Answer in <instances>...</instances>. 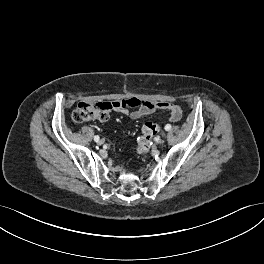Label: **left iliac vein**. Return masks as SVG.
Segmentation results:
<instances>
[{"label":"left iliac vein","instance_id":"left-iliac-vein-1","mask_svg":"<svg viewBox=\"0 0 264 264\" xmlns=\"http://www.w3.org/2000/svg\"><path fill=\"white\" fill-rule=\"evenodd\" d=\"M165 142H166V141H165L164 139H161V140H160V143H161V144H164Z\"/></svg>","mask_w":264,"mask_h":264}]
</instances>
